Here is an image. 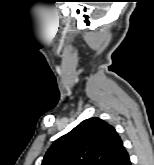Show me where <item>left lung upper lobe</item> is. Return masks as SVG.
Masks as SVG:
<instances>
[{
	"label": "left lung upper lobe",
	"instance_id": "1",
	"mask_svg": "<svg viewBox=\"0 0 154 165\" xmlns=\"http://www.w3.org/2000/svg\"><path fill=\"white\" fill-rule=\"evenodd\" d=\"M122 149L114 127L93 117L56 140L41 165H116Z\"/></svg>",
	"mask_w": 154,
	"mask_h": 165
}]
</instances>
